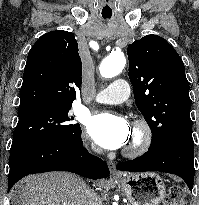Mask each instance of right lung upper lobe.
Segmentation results:
<instances>
[{
    "mask_svg": "<svg viewBox=\"0 0 199 205\" xmlns=\"http://www.w3.org/2000/svg\"><path fill=\"white\" fill-rule=\"evenodd\" d=\"M82 64L71 32L41 36L28 53L19 111L38 106L72 104L81 87Z\"/></svg>",
    "mask_w": 199,
    "mask_h": 205,
    "instance_id": "right-lung-upper-lobe-1",
    "label": "right lung upper lobe"
}]
</instances>
